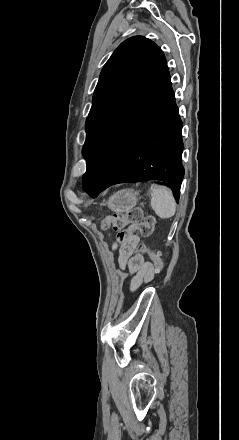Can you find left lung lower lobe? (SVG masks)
<instances>
[{"label":"left lung lower lobe","mask_w":239,"mask_h":440,"mask_svg":"<svg viewBox=\"0 0 239 440\" xmlns=\"http://www.w3.org/2000/svg\"><path fill=\"white\" fill-rule=\"evenodd\" d=\"M182 121L168 67L107 132L87 163L83 189L97 196L117 184L151 179L173 186L179 200L184 176Z\"/></svg>","instance_id":"left-lung-lower-lobe-1"}]
</instances>
